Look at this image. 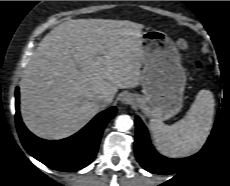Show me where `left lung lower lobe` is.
I'll list each match as a JSON object with an SVG mask.
<instances>
[{
    "instance_id": "1",
    "label": "left lung lower lobe",
    "mask_w": 230,
    "mask_h": 186,
    "mask_svg": "<svg viewBox=\"0 0 230 186\" xmlns=\"http://www.w3.org/2000/svg\"><path fill=\"white\" fill-rule=\"evenodd\" d=\"M136 137L135 154L140 165L147 171L156 174H172L178 172L185 166H189L202 150L188 158L169 159L155 151L151 145L148 131L139 117L135 119Z\"/></svg>"
}]
</instances>
